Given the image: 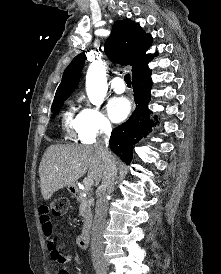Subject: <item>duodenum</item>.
Masks as SVG:
<instances>
[{"instance_id":"410a0bca","label":"duodenum","mask_w":221,"mask_h":274,"mask_svg":"<svg viewBox=\"0 0 221 274\" xmlns=\"http://www.w3.org/2000/svg\"><path fill=\"white\" fill-rule=\"evenodd\" d=\"M73 195L77 199H82V192L78 188H73L72 189ZM92 217L90 214H86L85 216V227L82 230V232L79 234L77 238V243L81 248H86L89 243V227L91 224Z\"/></svg>"}]
</instances>
